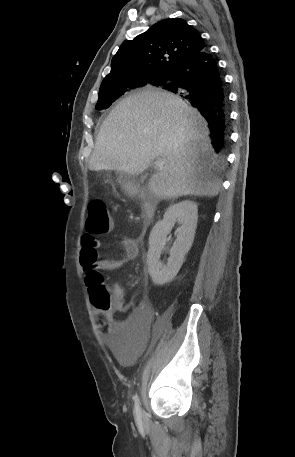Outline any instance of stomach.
Instances as JSON below:
<instances>
[{"mask_svg": "<svg viewBox=\"0 0 295 457\" xmlns=\"http://www.w3.org/2000/svg\"><path fill=\"white\" fill-rule=\"evenodd\" d=\"M122 186L127 191H130L132 189V184L125 180H122Z\"/></svg>", "mask_w": 295, "mask_h": 457, "instance_id": "0dacf381", "label": "stomach"}]
</instances>
